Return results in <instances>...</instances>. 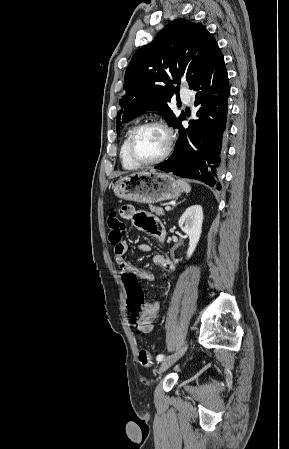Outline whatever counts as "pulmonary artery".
Listing matches in <instances>:
<instances>
[{"instance_id": "pulmonary-artery-1", "label": "pulmonary artery", "mask_w": 289, "mask_h": 449, "mask_svg": "<svg viewBox=\"0 0 289 449\" xmlns=\"http://www.w3.org/2000/svg\"><path fill=\"white\" fill-rule=\"evenodd\" d=\"M182 98L185 102L190 103L191 102V92L189 90H183Z\"/></svg>"}]
</instances>
